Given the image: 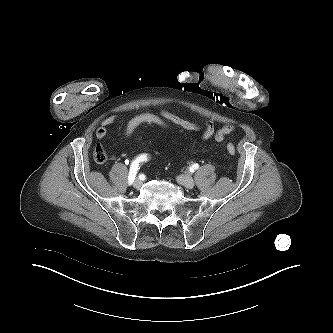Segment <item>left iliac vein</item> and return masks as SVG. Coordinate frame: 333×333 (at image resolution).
<instances>
[{"mask_svg":"<svg viewBox=\"0 0 333 333\" xmlns=\"http://www.w3.org/2000/svg\"><path fill=\"white\" fill-rule=\"evenodd\" d=\"M177 182L188 189H192L195 185L193 178L188 174L179 175L177 177Z\"/></svg>","mask_w":333,"mask_h":333,"instance_id":"4c4485c4","label":"left iliac vein"}]
</instances>
